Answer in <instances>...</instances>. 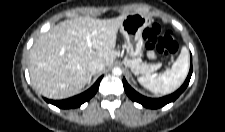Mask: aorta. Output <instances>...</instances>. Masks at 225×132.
<instances>
[{
  "mask_svg": "<svg viewBox=\"0 0 225 132\" xmlns=\"http://www.w3.org/2000/svg\"><path fill=\"white\" fill-rule=\"evenodd\" d=\"M113 74H114V75H118V76H119V75H121V74H122V71H121V69H120V68H114V69H113Z\"/></svg>",
  "mask_w": 225,
  "mask_h": 132,
  "instance_id": "aorta-1",
  "label": "aorta"
}]
</instances>
